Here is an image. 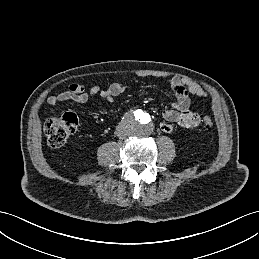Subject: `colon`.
<instances>
[{
  "instance_id": "1",
  "label": "colon",
  "mask_w": 259,
  "mask_h": 259,
  "mask_svg": "<svg viewBox=\"0 0 259 259\" xmlns=\"http://www.w3.org/2000/svg\"><path fill=\"white\" fill-rule=\"evenodd\" d=\"M77 125V117L72 113L48 119L44 126L48 144L53 148L62 147L68 138L74 134ZM203 125L206 129H211L214 125L212 117L209 115L205 116L203 118Z\"/></svg>"
}]
</instances>
